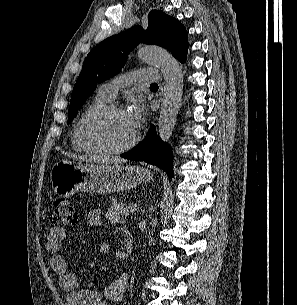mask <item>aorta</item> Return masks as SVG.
Masks as SVG:
<instances>
[{"label":"aorta","instance_id":"1","mask_svg":"<svg viewBox=\"0 0 297 305\" xmlns=\"http://www.w3.org/2000/svg\"><path fill=\"white\" fill-rule=\"evenodd\" d=\"M137 55L143 62L158 67L164 77V92L158 120V133L162 141L168 142L175 127L183 94V72L178 61L166 50L142 46Z\"/></svg>","mask_w":297,"mask_h":305}]
</instances>
